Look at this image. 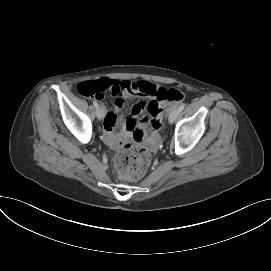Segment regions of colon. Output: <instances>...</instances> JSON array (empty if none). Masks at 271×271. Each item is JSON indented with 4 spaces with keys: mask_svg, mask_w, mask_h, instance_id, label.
<instances>
[{
    "mask_svg": "<svg viewBox=\"0 0 271 271\" xmlns=\"http://www.w3.org/2000/svg\"><path fill=\"white\" fill-rule=\"evenodd\" d=\"M109 89L110 86L106 79L84 81L77 86V90L81 95L97 99L101 98ZM158 97L171 104H178L184 100L185 95L180 90L172 88L161 90ZM152 127L159 129L161 124L154 121ZM150 160V153L145 148L127 144L115 156L114 169L121 178L133 181L141 178L146 173Z\"/></svg>",
    "mask_w": 271,
    "mask_h": 271,
    "instance_id": "obj_1",
    "label": "colon"
}]
</instances>
